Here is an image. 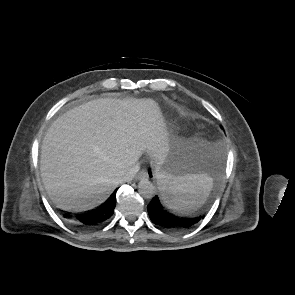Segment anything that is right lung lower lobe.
Masks as SVG:
<instances>
[{
    "instance_id": "obj_1",
    "label": "right lung lower lobe",
    "mask_w": 295,
    "mask_h": 295,
    "mask_svg": "<svg viewBox=\"0 0 295 295\" xmlns=\"http://www.w3.org/2000/svg\"><path fill=\"white\" fill-rule=\"evenodd\" d=\"M115 193L116 190L109 197V199L98 209L90 213L77 216V219L79 220L80 224L84 227H92L100 225L104 223L107 219H109L113 215L115 208Z\"/></svg>"
}]
</instances>
